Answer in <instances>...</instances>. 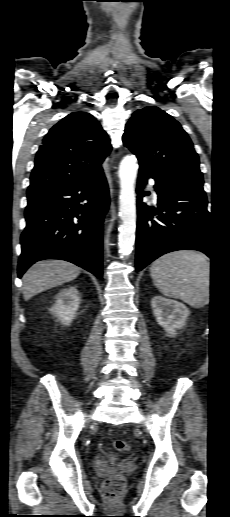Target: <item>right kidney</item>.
<instances>
[{"mask_svg":"<svg viewBox=\"0 0 230 517\" xmlns=\"http://www.w3.org/2000/svg\"><path fill=\"white\" fill-rule=\"evenodd\" d=\"M56 303L51 308V313L55 315L63 325H70L76 317V311L80 304V296L76 287H69L61 290L56 296Z\"/></svg>","mask_w":230,"mask_h":517,"instance_id":"obj_1","label":"right kidney"}]
</instances>
